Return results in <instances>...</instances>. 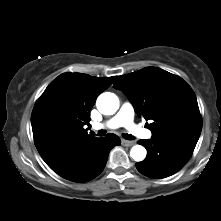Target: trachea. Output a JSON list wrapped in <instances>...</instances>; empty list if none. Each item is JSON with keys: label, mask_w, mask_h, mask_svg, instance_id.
Instances as JSON below:
<instances>
[{"label": "trachea", "mask_w": 221, "mask_h": 221, "mask_svg": "<svg viewBox=\"0 0 221 221\" xmlns=\"http://www.w3.org/2000/svg\"><path fill=\"white\" fill-rule=\"evenodd\" d=\"M106 133L105 130H99L98 131V136H104ZM123 137L126 139V140H133L135 139L134 136L130 135V134H123Z\"/></svg>", "instance_id": "trachea-1"}]
</instances>
